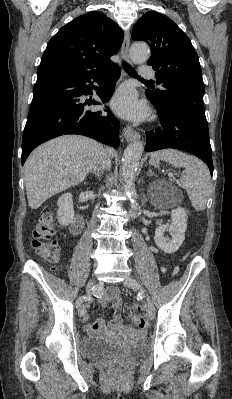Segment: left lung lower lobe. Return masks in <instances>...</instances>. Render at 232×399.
Masks as SVG:
<instances>
[{
    "mask_svg": "<svg viewBox=\"0 0 232 399\" xmlns=\"http://www.w3.org/2000/svg\"><path fill=\"white\" fill-rule=\"evenodd\" d=\"M156 107V106H155ZM161 126L146 132L145 151L173 148L194 154L203 160L213 175L212 150L209 132L178 112L163 111L156 107Z\"/></svg>",
    "mask_w": 232,
    "mask_h": 399,
    "instance_id": "obj_1",
    "label": "left lung lower lobe"
}]
</instances>
